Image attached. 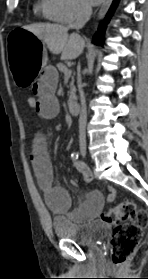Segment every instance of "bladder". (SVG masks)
<instances>
[{"mask_svg":"<svg viewBox=\"0 0 148 279\" xmlns=\"http://www.w3.org/2000/svg\"><path fill=\"white\" fill-rule=\"evenodd\" d=\"M52 226L57 237L83 246L95 245L103 240L109 232V225L101 220L79 224L73 222L69 217H55Z\"/></svg>","mask_w":148,"mask_h":279,"instance_id":"1","label":"bladder"}]
</instances>
